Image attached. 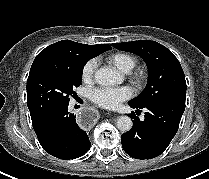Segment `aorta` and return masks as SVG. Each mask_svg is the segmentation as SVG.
<instances>
[{"instance_id":"1","label":"aorta","mask_w":209,"mask_h":179,"mask_svg":"<svg viewBox=\"0 0 209 179\" xmlns=\"http://www.w3.org/2000/svg\"><path fill=\"white\" fill-rule=\"evenodd\" d=\"M95 80L103 86H112L121 81V77L116 71L109 68H100L95 72ZM117 128L122 132L131 130L133 122L128 116H120L116 122Z\"/></svg>"}]
</instances>
